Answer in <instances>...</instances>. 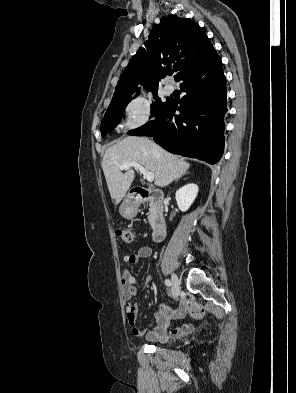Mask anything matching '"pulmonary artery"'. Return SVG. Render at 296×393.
<instances>
[{
    "label": "pulmonary artery",
    "instance_id": "obj_1",
    "mask_svg": "<svg viewBox=\"0 0 296 393\" xmlns=\"http://www.w3.org/2000/svg\"><path fill=\"white\" fill-rule=\"evenodd\" d=\"M173 91H174V86L171 83L167 82L166 85L164 86L165 94L170 95Z\"/></svg>",
    "mask_w": 296,
    "mask_h": 393
}]
</instances>
